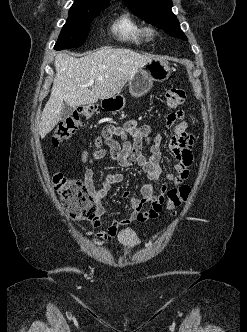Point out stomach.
Listing matches in <instances>:
<instances>
[{"mask_svg": "<svg viewBox=\"0 0 247 332\" xmlns=\"http://www.w3.org/2000/svg\"><path fill=\"white\" fill-rule=\"evenodd\" d=\"M171 68L169 63L160 58H154L140 67L129 80L128 89L132 97L138 98L150 91L153 81L163 82L170 76ZM102 106L106 110H122L125 106V99L122 95L104 99Z\"/></svg>", "mask_w": 247, "mask_h": 332, "instance_id": "stomach-1", "label": "stomach"}]
</instances>
